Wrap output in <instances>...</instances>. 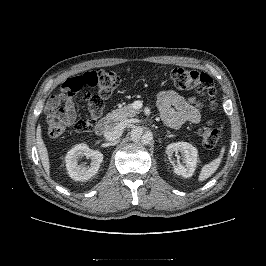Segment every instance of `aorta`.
<instances>
[{
	"instance_id": "aorta-1",
	"label": "aorta",
	"mask_w": 266,
	"mask_h": 266,
	"mask_svg": "<svg viewBox=\"0 0 266 266\" xmlns=\"http://www.w3.org/2000/svg\"><path fill=\"white\" fill-rule=\"evenodd\" d=\"M131 140L133 142L149 144L153 140V134L151 131H144L141 126H135L131 130Z\"/></svg>"
}]
</instances>
